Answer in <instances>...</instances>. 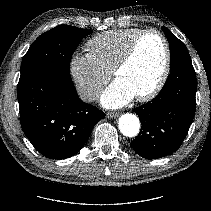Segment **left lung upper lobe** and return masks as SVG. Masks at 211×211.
I'll list each match as a JSON object with an SVG mask.
<instances>
[{
  "label": "left lung upper lobe",
  "instance_id": "5c2ea615",
  "mask_svg": "<svg viewBox=\"0 0 211 211\" xmlns=\"http://www.w3.org/2000/svg\"><path fill=\"white\" fill-rule=\"evenodd\" d=\"M162 29L170 45V67L182 60H191L184 43L174 36L168 28L163 27Z\"/></svg>",
  "mask_w": 211,
  "mask_h": 211
}]
</instances>
